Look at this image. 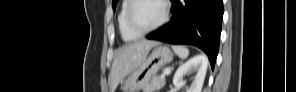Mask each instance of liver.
Segmentation results:
<instances>
[{"label": "liver", "instance_id": "obj_1", "mask_svg": "<svg viewBox=\"0 0 296 92\" xmlns=\"http://www.w3.org/2000/svg\"><path fill=\"white\" fill-rule=\"evenodd\" d=\"M157 45L156 41L141 40L121 47L111 67L110 92H114L120 81L136 70L146 60L151 48Z\"/></svg>", "mask_w": 296, "mask_h": 92}]
</instances>
